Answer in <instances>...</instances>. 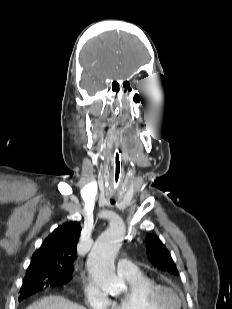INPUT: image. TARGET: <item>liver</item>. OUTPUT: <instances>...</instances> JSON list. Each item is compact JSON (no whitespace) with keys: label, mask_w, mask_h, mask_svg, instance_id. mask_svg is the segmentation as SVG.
I'll list each match as a JSON object with an SVG mask.
<instances>
[{"label":"liver","mask_w":232,"mask_h":309,"mask_svg":"<svg viewBox=\"0 0 232 309\" xmlns=\"http://www.w3.org/2000/svg\"><path fill=\"white\" fill-rule=\"evenodd\" d=\"M26 309H86L61 296H47L28 306Z\"/></svg>","instance_id":"obj_1"}]
</instances>
